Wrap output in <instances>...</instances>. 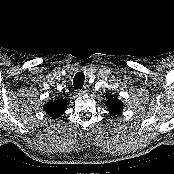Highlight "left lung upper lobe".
<instances>
[{"label": "left lung upper lobe", "mask_w": 174, "mask_h": 174, "mask_svg": "<svg viewBox=\"0 0 174 174\" xmlns=\"http://www.w3.org/2000/svg\"><path fill=\"white\" fill-rule=\"evenodd\" d=\"M106 106L111 115L116 116L123 111L124 104L115 96L109 95L106 100Z\"/></svg>", "instance_id": "left-lung-upper-lobe-1"}]
</instances>
